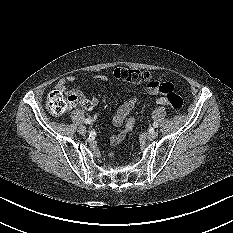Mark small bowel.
I'll list each match as a JSON object with an SVG mask.
<instances>
[{"label":"small bowel","mask_w":233,"mask_h":233,"mask_svg":"<svg viewBox=\"0 0 233 233\" xmlns=\"http://www.w3.org/2000/svg\"><path fill=\"white\" fill-rule=\"evenodd\" d=\"M95 79L101 82H106L108 80L107 76L105 75H97ZM74 81H75L74 76H67L65 78H62L56 84L55 89L59 92L66 93L68 96L75 97L76 103H80L82 106L86 108H91L95 106L98 103L97 98L95 97L88 98L80 90L77 89H72V90L67 89V84L72 83ZM147 92L153 96H158L163 94V92L156 86H147ZM136 102H137V98L135 96H132L120 105V107L118 108L117 112L113 117V124L116 127L122 126L128 114L135 107ZM157 103L161 105H169L165 97H159L157 99ZM132 126H133V121L128 120L125 128L118 130L112 136L111 144L115 146L121 143L126 137L127 133L132 129Z\"/></svg>","instance_id":"1"}]
</instances>
